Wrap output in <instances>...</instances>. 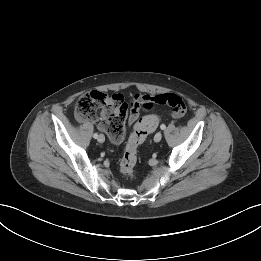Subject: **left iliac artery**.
I'll list each match as a JSON object with an SVG mask.
<instances>
[{
	"mask_svg": "<svg viewBox=\"0 0 261 261\" xmlns=\"http://www.w3.org/2000/svg\"><path fill=\"white\" fill-rule=\"evenodd\" d=\"M160 128H161L162 130H164V129L166 128V126H165L164 124H162V125L160 126Z\"/></svg>",
	"mask_w": 261,
	"mask_h": 261,
	"instance_id": "left-iliac-artery-1",
	"label": "left iliac artery"
}]
</instances>
